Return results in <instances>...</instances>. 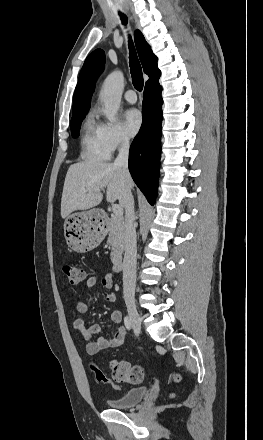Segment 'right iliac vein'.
<instances>
[{
	"mask_svg": "<svg viewBox=\"0 0 263 440\" xmlns=\"http://www.w3.org/2000/svg\"><path fill=\"white\" fill-rule=\"evenodd\" d=\"M128 314L132 323V328L136 335H139L141 332V318L136 309L134 301L129 299L126 301Z\"/></svg>",
	"mask_w": 263,
	"mask_h": 440,
	"instance_id": "63e3f726",
	"label": "right iliac vein"
}]
</instances>
